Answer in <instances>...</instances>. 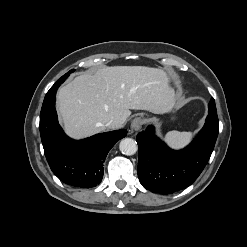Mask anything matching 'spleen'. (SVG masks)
<instances>
[{"label":"spleen","mask_w":247,"mask_h":247,"mask_svg":"<svg viewBox=\"0 0 247 247\" xmlns=\"http://www.w3.org/2000/svg\"><path fill=\"white\" fill-rule=\"evenodd\" d=\"M192 138V132H179L176 130L168 132L164 140L174 149H181L186 146Z\"/></svg>","instance_id":"obj_1"}]
</instances>
